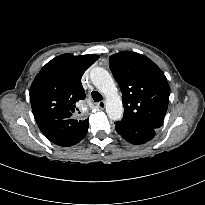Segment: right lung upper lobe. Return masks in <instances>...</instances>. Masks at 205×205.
Segmentation results:
<instances>
[{
	"label": "right lung upper lobe",
	"mask_w": 205,
	"mask_h": 205,
	"mask_svg": "<svg viewBox=\"0 0 205 205\" xmlns=\"http://www.w3.org/2000/svg\"><path fill=\"white\" fill-rule=\"evenodd\" d=\"M98 58L62 54L43 66L30 88L32 111L39 127L61 120V133L70 141L78 140L88 130V119L75 120L73 114L78 110L77 102L85 98L81 77Z\"/></svg>",
	"instance_id": "obj_1"
}]
</instances>
